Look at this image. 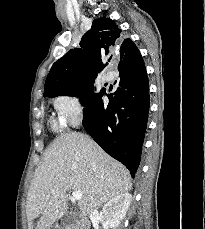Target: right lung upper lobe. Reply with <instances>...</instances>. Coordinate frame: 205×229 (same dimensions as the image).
<instances>
[{
  "mask_svg": "<svg viewBox=\"0 0 205 229\" xmlns=\"http://www.w3.org/2000/svg\"><path fill=\"white\" fill-rule=\"evenodd\" d=\"M120 40L121 30L113 20H94L81 39V48L71 49L53 64L45 82L44 97L69 95L82 85L94 83L115 51L120 55L118 70L136 66L142 60L139 50L130 39H125L121 46Z\"/></svg>",
  "mask_w": 205,
  "mask_h": 229,
  "instance_id": "cb5924a9",
  "label": "right lung upper lobe"
}]
</instances>
